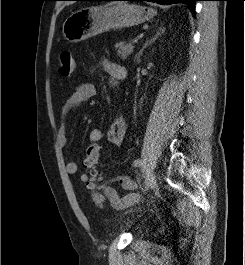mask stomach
<instances>
[{
    "label": "stomach",
    "mask_w": 245,
    "mask_h": 265,
    "mask_svg": "<svg viewBox=\"0 0 245 265\" xmlns=\"http://www.w3.org/2000/svg\"><path fill=\"white\" fill-rule=\"evenodd\" d=\"M156 14L152 8L128 3L84 7L67 17L62 33L67 41L77 43L110 29L139 25Z\"/></svg>",
    "instance_id": "stomach-1"
}]
</instances>
